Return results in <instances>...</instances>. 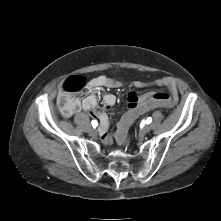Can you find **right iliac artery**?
Listing matches in <instances>:
<instances>
[{
	"mask_svg": "<svg viewBox=\"0 0 221 221\" xmlns=\"http://www.w3.org/2000/svg\"><path fill=\"white\" fill-rule=\"evenodd\" d=\"M91 125L96 128L98 125V122L96 120H92Z\"/></svg>",
	"mask_w": 221,
	"mask_h": 221,
	"instance_id": "right-iliac-artery-1",
	"label": "right iliac artery"
}]
</instances>
